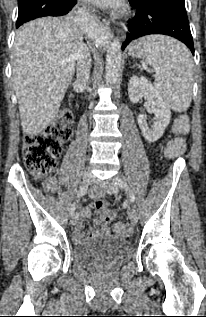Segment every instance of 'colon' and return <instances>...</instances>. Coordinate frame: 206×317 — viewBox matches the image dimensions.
Wrapping results in <instances>:
<instances>
[{
	"mask_svg": "<svg viewBox=\"0 0 206 317\" xmlns=\"http://www.w3.org/2000/svg\"><path fill=\"white\" fill-rule=\"evenodd\" d=\"M71 123L72 113L63 109L43 132L25 137L23 158L34 178L43 179L54 170L62 151V145L70 136ZM189 128L190 124L187 116L180 115L175 119L173 126L175 137L169 142L165 151L168 158H176L185 152L186 144L183 136L189 132ZM94 208L106 222L114 220V213L108 210L104 201H96ZM115 230L122 236H127L131 232L130 226L126 223L116 224Z\"/></svg>",
	"mask_w": 206,
	"mask_h": 317,
	"instance_id": "5ec220e1",
	"label": "colon"
}]
</instances>
